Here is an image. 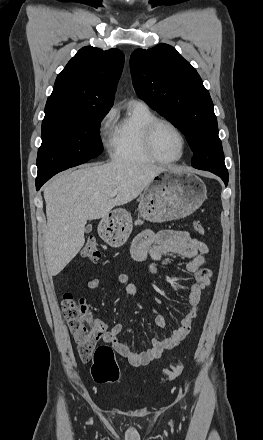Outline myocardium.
<instances>
[{"label":"myocardium","instance_id":"obj_1","mask_svg":"<svg viewBox=\"0 0 263 440\" xmlns=\"http://www.w3.org/2000/svg\"><path fill=\"white\" fill-rule=\"evenodd\" d=\"M162 124H165V125H168L169 127H171L179 135V137L181 139V143H182L181 153L175 159H170V160L162 159L154 151V148H153L154 133H155V130L157 129V127ZM143 147H144V150L147 153V155L153 161L161 163V164H173V163L179 162L185 156V153L187 150V139H186L185 134L182 132V130L172 121L165 119V118H155L154 120L149 122L143 130Z\"/></svg>","mask_w":263,"mask_h":440}]
</instances>
